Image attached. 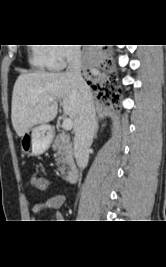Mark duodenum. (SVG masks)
I'll list each match as a JSON object with an SVG mask.
<instances>
[{
    "instance_id": "obj_1",
    "label": "duodenum",
    "mask_w": 166,
    "mask_h": 267,
    "mask_svg": "<svg viewBox=\"0 0 166 267\" xmlns=\"http://www.w3.org/2000/svg\"><path fill=\"white\" fill-rule=\"evenodd\" d=\"M79 175V170L76 167L70 168L66 173V179L68 182H74Z\"/></svg>"
}]
</instances>
